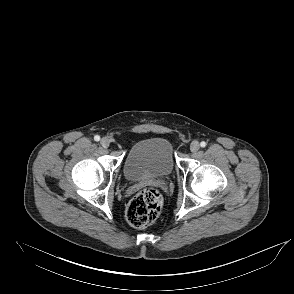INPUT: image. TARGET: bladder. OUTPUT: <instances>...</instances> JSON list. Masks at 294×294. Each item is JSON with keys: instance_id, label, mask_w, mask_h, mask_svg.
Wrapping results in <instances>:
<instances>
[{"instance_id": "bladder-1", "label": "bladder", "mask_w": 294, "mask_h": 294, "mask_svg": "<svg viewBox=\"0 0 294 294\" xmlns=\"http://www.w3.org/2000/svg\"><path fill=\"white\" fill-rule=\"evenodd\" d=\"M175 167L174 147L162 137L136 142L124 161V174L130 181L148 180L169 175Z\"/></svg>"}]
</instances>
